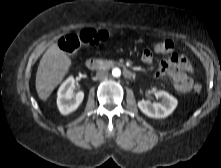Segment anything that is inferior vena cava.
<instances>
[{
  "label": "inferior vena cava",
  "instance_id": "obj_1",
  "mask_svg": "<svg viewBox=\"0 0 221 168\" xmlns=\"http://www.w3.org/2000/svg\"><path fill=\"white\" fill-rule=\"evenodd\" d=\"M96 78L98 80H104V79L108 78V71H106V70L97 71Z\"/></svg>",
  "mask_w": 221,
  "mask_h": 168
}]
</instances>
